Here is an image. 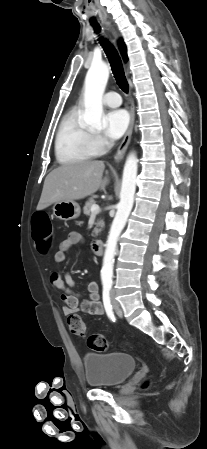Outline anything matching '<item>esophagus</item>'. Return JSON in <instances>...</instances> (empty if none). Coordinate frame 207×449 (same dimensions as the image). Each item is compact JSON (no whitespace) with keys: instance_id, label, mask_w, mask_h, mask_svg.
<instances>
[{"instance_id":"obj_1","label":"esophagus","mask_w":207,"mask_h":449,"mask_svg":"<svg viewBox=\"0 0 207 449\" xmlns=\"http://www.w3.org/2000/svg\"><path fill=\"white\" fill-rule=\"evenodd\" d=\"M134 121H135V110H134V105L132 104L131 108H130L129 127L127 129V132L125 133V136H124L122 142L120 143V145L117 149L115 156H114L115 162H119L123 158V156L128 148V145L131 140L132 132H133Z\"/></svg>"}]
</instances>
